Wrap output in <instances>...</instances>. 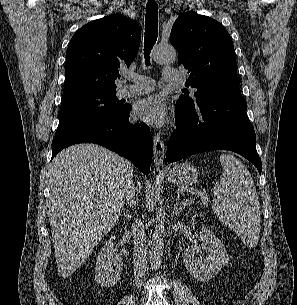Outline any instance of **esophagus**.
I'll return each mask as SVG.
<instances>
[{
    "label": "esophagus",
    "instance_id": "34e87169",
    "mask_svg": "<svg viewBox=\"0 0 297 305\" xmlns=\"http://www.w3.org/2000/svg\"><path fill=\"white\" fill-rule=\"evenodd\" d=\"M154 147H153V161L156 168L159 170L164 161L165 155V144L160 138L159 134H155L153 139Z\"/></svg>",
    "mask_w": 297,
    "mask_h": 305
}]
</instances>
